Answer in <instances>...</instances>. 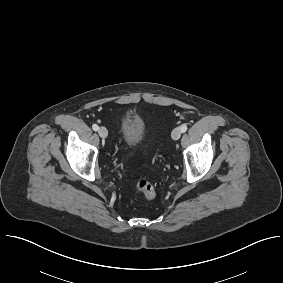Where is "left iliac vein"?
Wrapping results in <instances>:
<instances>
[{"mask_svg":"<svg viewBox=\"0 0 283 283\" xmlns=\"http://www.w3.org/2000/svg\"><path fill=\"white\" fill-rule=\"evenodd\" d=\"M181 129L179 127L173 129L172 133H171V137L173 140H178L181 137Z\"/></svg>","mask_w":283,"mask_h":283,"instance_id":"obj_1","label":"left iliac vein"}]
</instances>
